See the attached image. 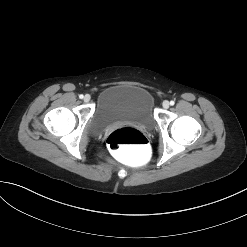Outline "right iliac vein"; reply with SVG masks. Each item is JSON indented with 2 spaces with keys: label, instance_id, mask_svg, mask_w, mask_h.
I'll return each instance as SVG.
<instances>
[{
  "label": "right iliac vein",
  "instance_id": "obj_1",
  "mask_svg": "<svg viewBox=\"0 0 247 247\" xmlns=\"http://www.w3.org/2000/svg\"><path fill=\"white\" fill-rule=\"evenodd\" d=\"M90 99H91V96H90L89 94H86V95L84 96V98H83L84 102H86V103L89 102Z\"/></svg>",
  "mask_w": 247,
  "mask_h": 247
}]
</instances>
